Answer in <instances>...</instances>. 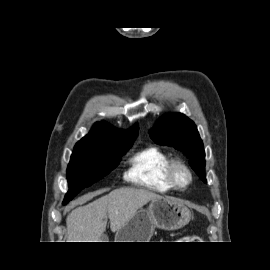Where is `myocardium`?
<instances>
[{
    "instance_id": "obj_1",
    "label": "myocardium",
    "mask_w": 270,
    "mask_h": 270,
    "mask_svg": "<svg viewBox=\"0 0 270 270\" xmlns=\"http://www.w3.org/2000/svg\"><path fill=\"white\" fill-rule=\"evenodd\" d=\"M184 171L188 177L187 182L182 184L179 182L177 173L178 171ZM167 178L170 184L177 190H186L193 181V173L190 167L180 159H171L167 167Z\"/></svg>"
}]
</instances>
